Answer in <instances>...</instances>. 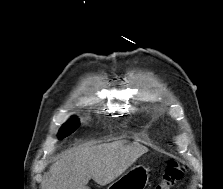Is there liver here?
<instances>
[{
  "instance_id": "liver-1",
  "label": "liver",
  "mask_w": 223,
  "mask_h": 189,
  "mask_svg": "<svg viewBox=\"0 0 223 189\" xmlns=\"http://www.w3.org/2000/svg\"><path fill=\"white\" fill-rule=\"evenodd\" d=\"M148 149L122 142L86 144L62 154L50 167L42 189H89L92 178L105 186L128 169Z\"/></svg>"
}]
</instances>
